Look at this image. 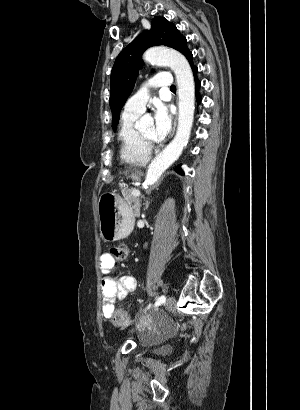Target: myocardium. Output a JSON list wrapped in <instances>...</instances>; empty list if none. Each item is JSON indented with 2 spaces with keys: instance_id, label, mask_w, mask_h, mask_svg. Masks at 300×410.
Listing matches in <instances>:
<instances>
[{
  "instance_id": "myocardium-1",
  "label": "myocardium",
  "mask_w": 300,
  "mask_h": 410,
  "mask_svg": "<svg viewBox=\"0 0 300 410\" xmlns=\"http://www.w3.org/2000/svg\"><path fill=\"white\" fill-rule=\"evenodd\" d=\"M140 137L142 138V140L147 144L150 145L152 143V139L146 137L142 132H139Z\"/></svg>"
}]
</instances>
